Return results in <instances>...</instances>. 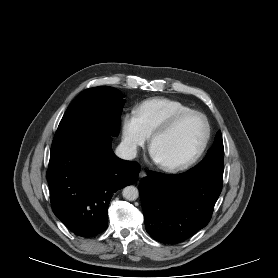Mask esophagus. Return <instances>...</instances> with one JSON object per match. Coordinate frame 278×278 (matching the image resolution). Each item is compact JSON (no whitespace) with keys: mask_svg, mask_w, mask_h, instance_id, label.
Wrapping results in <instances>:
<instances>
[{"mask_svg":"<svg viewBox=\"0 0 278 278\" xmlns=\"http://www.w3.org/2000/svg\"><path fill=\"white\" fill-rule=\"evenodd\" d=\"M144 177H146V172L144 170H141L139 173V179H142Z\"/></svg>","mask_w":278,"mask_h":278,"instance_id":"34e87169","label":"esophagus"}]
</instances>
